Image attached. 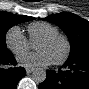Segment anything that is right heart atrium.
Instances as JSON below:
<instances>
[{
  "instance_id": "d8ad5b80",
  "label": "right heart atrium",
  "mask_w": 89,
  "mask_h": 89,
  "mask_svg": "<svg viewBox=\"0 0 89 89\" xmlns=\"http://www.w3.org/2000/svg\"><path fill=\"white\" fill-rule=\"evenodd\" d=\"M8 49L15 55H20L31 49L32 44L18 26L11 27L5 35Z\"/></svg>"
}]
</instances>
